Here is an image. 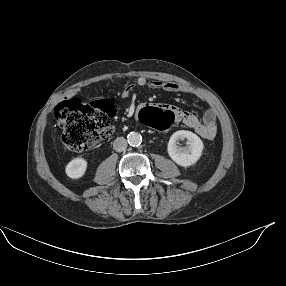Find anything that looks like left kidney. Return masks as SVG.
I'll return each instance as SVG.
<instances>
[{"mask_svg":"<svg viewBox=\"0 0 286 286\" xmlns=\"http://www.w3.org/2000/svg\"><path fill=\"white\" fill-rule=\"evenodd\" d=\"M184 139H187V145L185 147L179 146L178 141ZM203 148V142L196 134L187 130H180L170 137L167 152L175 163L182 167H188L200 159Z\"/></svg>","mask_w":286,"mask_h":286,"instance_id":"5707ae66","label":"left kidney"}]
</instances>
